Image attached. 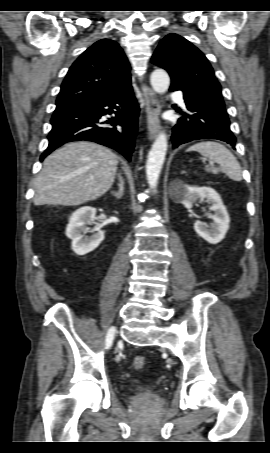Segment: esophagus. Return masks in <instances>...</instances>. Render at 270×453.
I'll return each mask as SVG.
<instances>
[{
    "label": "esophagus",
    "mask_w": 270,
    "mask_h": 453,
    "mask_svg": "<svg viewBox=\"0 0 270 453\" xmlns=\"http://www.w3.org/2000/svg\"><path fill=\"white\" fill-rule=\"evenodd\" d=\"M146 106L147 129L149 139H154L160 130V104L155 92L147 85L142 86Z\"/></svg>",
    "instance_id": "34e87169"
}]
</instances>
